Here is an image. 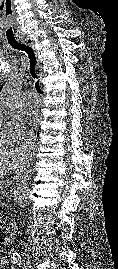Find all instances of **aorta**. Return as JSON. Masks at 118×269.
Listing matches in <instances>:
<instances>
[{
  "instance_id": "762f6f07",
  "label": "aorta",
  "mask_w": 118,
  "mask_h": 269,
  "mask_svg": "<svg viewBox=\"0 0 118 269\" xmlns=\"http://www.w3.org/2000/svg\"><path fill=\"white\" fill-rule=\"evenodd\" d=\"M23 77L14 75L5 86L2 96L0 97V109L10 110L14 107L18 95L21 91ZM13 198L17 201H23L28 195V186L25 181H21L13 190Z\"/></svg>"
}]
</instances>
